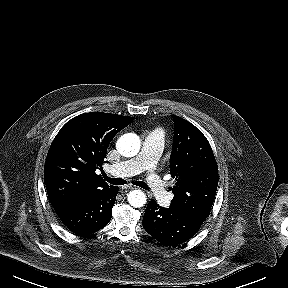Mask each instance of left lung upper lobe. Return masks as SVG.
<instances>
[{"label": "left lung upper lobe", "mask_w": 288, "mask_h": 288, "mask_svg": "<svg viewBox=\"0 0 288 288\" xmlns=\"http://www.w3.org/2000/svg\"><path fill=\"white\" fill-rule=\"evenodd\" d=\"M175 124L170 174L176 183L170 207L204 221L218 185V169L207 138L193 124L172 116Z\"/></svg>", "instance_id": "left-lung-upper-lobe-1"}]
</instances>
